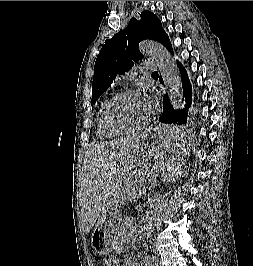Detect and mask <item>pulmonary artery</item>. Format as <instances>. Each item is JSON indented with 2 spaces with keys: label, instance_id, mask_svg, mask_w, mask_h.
Here are the masks:
<instances>
[{
  "label": "pulmonary artery",
  "instance_id": "pulmonary-artery-1",
  "mask_svg": "<svg viewBox=\"0 0 253 266\" xmlns=\"http://www.w3.org/2000/svg\"><path fill=\"white\" fill-rule=\"evenodd\" d=\"M138 69L140 71H148L154 69V62L146 60L143 62V65L139 66Z\"/></svg>",
  "mask_w": 253,
  "mask_h": 266
}]
</instances>
